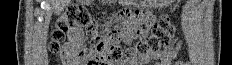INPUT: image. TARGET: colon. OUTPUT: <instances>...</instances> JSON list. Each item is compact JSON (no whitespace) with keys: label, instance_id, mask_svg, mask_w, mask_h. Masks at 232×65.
<instances>
[{"label":"colon","instance_id":"5ec220e1","mask_svg":"<svg viewBox=\"0 0 232 65\" xmlns=\"http://www.w3.org/2000/svg\"><path fill=\"white\" fill-rule=\"evenodd\" d=\"M84 29L91 37V47L88 50H80V56L86 65H105L126 59L133 61L139 57L148 56L158 52L167 45L174 34V28L167 16L161 17L147 37H141L137 44L128 48H122L117 37H104L99 31L96 20L89 11L79 5L72 4L56 20L49 48L53 53H61L64 57V41L69 29Z\"/></svg>","mask_w":232,"mask_h":65}]
</instances>
